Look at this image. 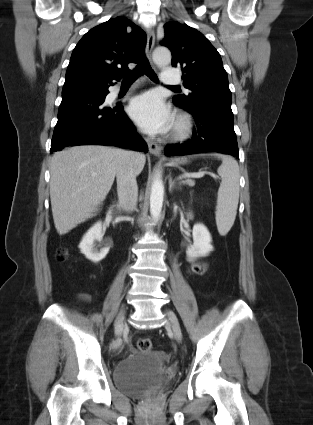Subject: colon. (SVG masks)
Returning a JSON list of instances; mask_svg holds the SVG:
<instances>
[{
    "mask_svg": "<svg viewBox=\"0 0 313 425\" xmlns=\"http://www.w3.org/2000/svg\"><path fill=\"white\" fill-rule=\"evenodd\" d=\"M67 257V252L65 249H60L57 253L58 261H64ZM206 271V265L192 266L189 269V273L192 276L202 275ZM137 348L142 352H147L152 350L153 344L148 338H140L137 341Z\"/></svg>",
    "mask_w": 313,
    "mask_h": 425,
    "instance_id": "colon-1",
    "label": "colon"
}]
</instances>
